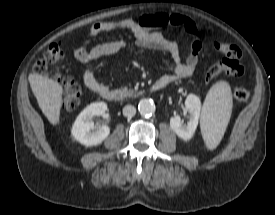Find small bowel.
<instances>
[{"instance_id":"small-bowel-1","label":"small bowel","mask_w":275,"mask_h":215,"mask_svg":"<svg viewBox=\"0 0 275 215\" xmlns=\"http://www.w3.org/2000/svg\"><path fill=\"white\" fill-rule=\"evenodd\" d=\"M166 17L165 14L157 13L142 15L137 20L124 19L121 21L97 22L90 27L88 36L93 38L102 32L115 30L131 31L137 47L162 51L172 58L174 62L173 73L161 77L170 84L176 79L187 78L193 74L202 49V39L196 25L192 22L194 31L186 32L190 54L186 60H182L178 44L161 32L155 31L156 28L166 25ZM125 48L126 42L124 40H115L97 45L86 44L74 49L75 58L85 65L83 82L88 89L99 94L108 89L107 85L96 78L90 64L103 56L119 53Z\"/></svg>"}]
</instances>
